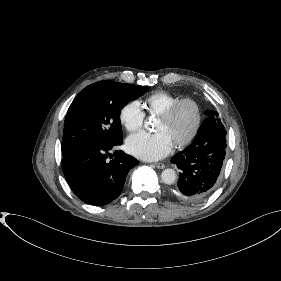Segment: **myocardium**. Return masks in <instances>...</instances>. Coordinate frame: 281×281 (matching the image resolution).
<instances>
[{
    "label": "myocardium",
    "mask_w": 281,
    "mask_h": 281,
    "mask_svg": "<svg viewBox=\"0 0 281 281\" xmlns=\"http://www.w3.org/2000/svg\"><path fill=\"white\" fill-rule=\"evenodd\" d=\"M185 104L191 105L193 107L195 113V121L189 135L173 145V147L176 149L185 148L190 143H192L200 130L202 124V109L199 102L196 99L190 97L181 98L157 115V118L159 119L168 120L181 106Z\"/></svg>",
    "instance_id": "1"
}]
</instances>
